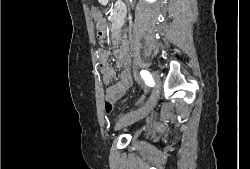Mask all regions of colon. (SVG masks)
<instances>
[{
  "label": "colon",
  "instance_id": "obj_1",
  "mask_svg": "<svg viewBox=\"0 0 250 169\" xmlns=\"http://www.w3.org/2000/svg\"><path fill=\"white\" fill-rule=\"evenodd\" d=\"M103 26L101 23L97 24V27L95 28V35L100 36V41L104 42L105 41V34L103 33ZM107 103H105V108H113L114 104V99L113 97H108ZM106 114H113V109H106Z\"/></svg>",
  "mask_w": 250,
  "mask_h": 169
}]
</instances>
